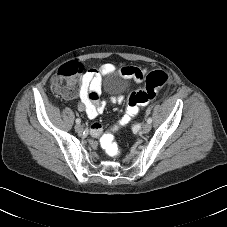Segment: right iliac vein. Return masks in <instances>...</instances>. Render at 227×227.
<instances>
[{
    "mask_svg": "<svg viewBox=\"0 0 227 227\" xmlns=\"http://www.w3.org/2000/svg\"><path fill=\"white\" fill-rule=\"evenodd\" d=\"M75 131H76L77 133L81 134V133L83 132V126L80 125V124H77V125L75 126Z\"/></svg>",
    "mask_w": 227,
    "mask_h": 227,
    "instance_id": "right-iliac-vein-1",
    "label": "right iliac vein"
}]
</instances>
